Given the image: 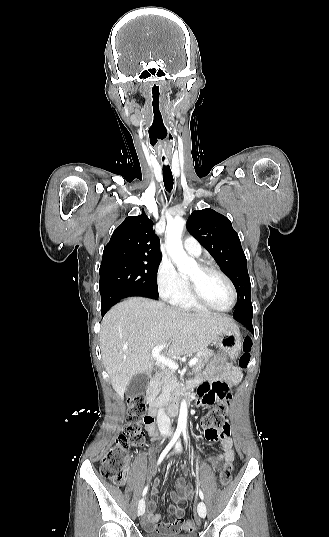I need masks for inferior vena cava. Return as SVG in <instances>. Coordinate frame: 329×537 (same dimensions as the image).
<instances>
[{"mask_svg":"<svg viewBox=\"0 0 329 537\" xmlns=\"http://www.w3.org/2000/svg\"><path fill=\"white\" fill-rule=\"evenodd\" d=\"M157 425L161 432H166L170 427V418L166 415L163 408L158 410Z\"/></svg>","mask_w":329,"mask_h":537,"instance_id":"obj_1","label":"inferior vena cava"}]
</instances>
